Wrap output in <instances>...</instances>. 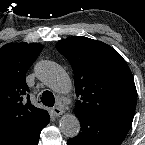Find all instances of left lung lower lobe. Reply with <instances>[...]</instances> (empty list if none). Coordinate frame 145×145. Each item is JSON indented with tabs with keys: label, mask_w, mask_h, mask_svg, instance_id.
<instances>
[{
	"label": "left lung lower lobe",
	"mask_w": 145,
	"mask_h": 145,
	"mask_svg": "<svg viewBox=\"0 0 145 145\" xmlns=\"http://www.w3.org/2000/svg\"><path fill=\"white\" fill-rule=\"evenodd\" d=\"M81 132L68 140L67 145H120L125 139L133 118L91 116L76 113Z\"/></svg>",
	"instance_id": "1"
}]
</instances>
